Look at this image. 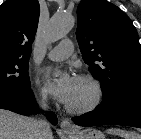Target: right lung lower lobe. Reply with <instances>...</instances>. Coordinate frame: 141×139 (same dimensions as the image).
<instances>
[{
    "label": "right lung lower lobe",
    "mask_w": 141,
    "mask_h": 139,
    "mask_svg": "<svg viewBox=\"0 0 141 139\" xmlns=\"http://www.w3.org/2000/svg\"><path fill=\"white\" fill-rule=\"evenodd\" d=\"M0 108L22 115H30L38 112V106L31 88L0 91ZM47 117L52 124H57V117L53 112H49Z\"/></svg>",
    "instance_id": "obj_1"
}]
</instances>
